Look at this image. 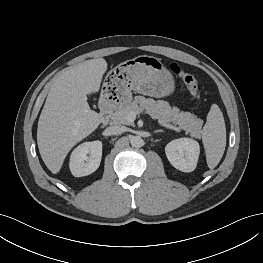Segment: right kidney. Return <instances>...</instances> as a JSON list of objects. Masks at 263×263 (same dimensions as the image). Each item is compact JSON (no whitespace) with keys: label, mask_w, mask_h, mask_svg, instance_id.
Here are the masks:
<instances>
[{"label":"right kidney","mask_w":263,"mask_h":263,"mask_svg":"<svg viewBox=\"0 0 263 263\" xmlns=\"http://www.w3.org/2000/svg\"><path fill=\"white\" fill-rule=\"evenodd\" d=\"M102 142H84L76 147L70 156V170L75 177L95 172L101 162Z\"/></svg>","instance_id":"right-kidney-1"}]
</instances>
